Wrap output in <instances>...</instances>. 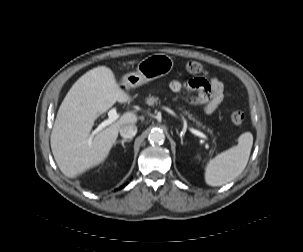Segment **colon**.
Listing matches in <instances>:
<instances>
[{"mask_svg": "<svg viewBox=\"0 0 303 252\" xmlns=\"http://www.w3.org/2000/svg\"><path fill=\"white\" fill-rule=\"evenodd\" d=\"M187 73L192 75H200L205 73V67L197 61H188L184 66ZM245 115L241 111H234L231 114V122L236 127H241L244 123Z\"/></svg>", "mask_w": 303, "mask_h": 252, "instance_id": "1", "label": "colon"}]
</instances>
